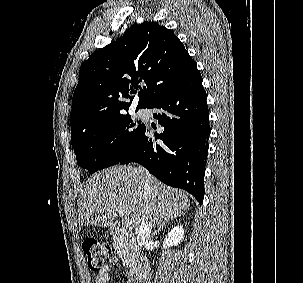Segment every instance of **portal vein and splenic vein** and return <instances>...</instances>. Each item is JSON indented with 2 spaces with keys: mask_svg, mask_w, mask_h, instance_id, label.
<instances>
[{
  "mask_svg": "<svg viewBox=\"0 0 303 283\" xmlns=\"http://www.w3.org/2000/svg\"><path fill=\"white\" fill-rule=\"evenodd\" d=\"M122 224L124 226H129L130 225V220L127 217L122 218Z\"/></svg>",
  "mask_w": 303,
  "mask_h": 283,
  "instance_id": "18ae733b",
  "label": "portal vein and splenic vein"
}]
</instances>
